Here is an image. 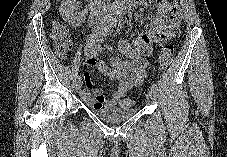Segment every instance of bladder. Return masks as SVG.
Wrapping results in <instances>:
<instances>
[{"label":"bladder","mask_w":227,"mask_h":157,"mask_svg":"<svg viewBox=\"0 0 227 157\" xmlns=\"http://www.w3.org/2000/svg\"><path fill=\"white\" fill-rule=\"evenodd\" d=\"M133 107H103L94 108L92 112L102 121L119 123L133 117L137 113Z\"/></svg>","instance_id":"bladder-1"}]
</instances>
